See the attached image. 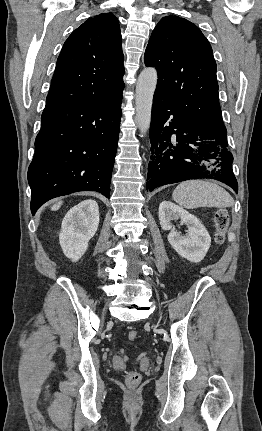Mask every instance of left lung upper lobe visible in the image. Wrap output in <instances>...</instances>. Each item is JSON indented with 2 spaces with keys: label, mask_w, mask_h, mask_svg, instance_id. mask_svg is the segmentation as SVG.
Listing matches in <instances>:
<instances>
[{
  "label": "left lung upper lobe",
  "mask_w": 262,
  "mask_h": 431,
  "mask_svg": "<svg viewBox=\"0 0 262 431\" xmlns=\"http://www.w3.org/2000/svg\"><path fill=\"white\" fill-rule=\"evenodd\" d=\"M144 61L157 68L156 92L194 125L211 131L225 127L216 62L196 25L177 16L163 17L152 32Z\"/></svg>",
  "instance_id": "left-lung-upper-lobe-1"
}]
</instances>
